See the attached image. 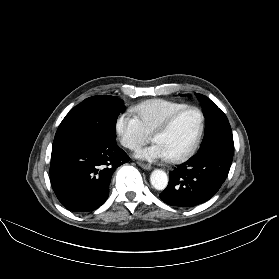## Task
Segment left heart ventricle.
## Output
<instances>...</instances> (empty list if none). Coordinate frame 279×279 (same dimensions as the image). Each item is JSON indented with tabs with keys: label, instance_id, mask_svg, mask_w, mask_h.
<instances>
[{
	"label": "left heart ventricle",
	"instance_id": "1",
	"mask_svg": "<svg viewBox=\"0 0 279 279\" xmlns=\"http://www.w3.org/2000/svg\"><path fill=\"white\" fill-rule=\"evenodd\" d=\"M199 127L197 112L188 110L180 114L170 129L153 140L165 149L168 157H174L185 152L193 142Z\"/></svg>",
	"mask_w": 279,
	"mask_h": 279
}]
</instances>
